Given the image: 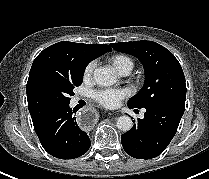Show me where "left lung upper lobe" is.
Masks as SVG:
<instances>
[{
    "label": "left lung upper lobe",
    "mask_w": 209,
    "mask_h": 179,
    "mask_svg": "<svg viewBox=\"0 0 209 179\" xmlns=\"http://www.w3.org/2000/svg\"><path fill=\"white\" fill-rule=\"evenodd\" d=\"M115 50L137 57L145 69L144 87L128 104L136 108L166 102H185L186 83L183 70L175 56L152 41L110 44Z\"/></svg>",
    "instance_id": "5c2ea615"
}]
</instances>
